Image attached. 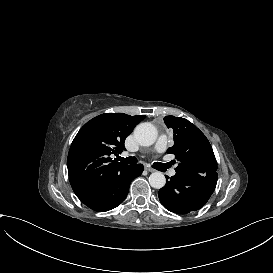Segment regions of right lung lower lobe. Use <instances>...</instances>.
<instances>
[{
  "label": "right lung lower lobe",
  "mask_w": 273,
  "mask_h": 273,
  "mask_svg": "<svg viewBox=\"0 0 273 273\" xmlns=\"http://www.w3.org/2000/svg\"><path fill=\"white\" fill-rule=\"evenodd\" d=\"M143 169L142 164L131 165L112 175L98 195L83 203L98 212H105L117 207L126 198L131 181L141 175Z\"/></svg>",
  "instance_id": "98d812e1"
}]
</instances>
